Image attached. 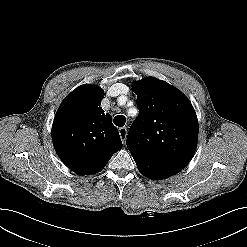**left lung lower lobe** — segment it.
Returning a JSON list of instances; mask_svg holds the SVG:
<instances>
[{"label": "left lung lower lobe", "instance_id": "1", "mask_svg": "<svg viewBox=\"0 0 247 247\" xmlns=\"http://www.w3.org/2000/svg\"><path fill=\"white\" fill-rule=\"evenodd\" d=\"M137 167L142 175L152 180H162L168 178L176 173H178L181 169L160 166L156 164L149 163L143 159L134 158Z\"/></svg>", "mask_w": 247, "mask_h": 247}]
</instances>
